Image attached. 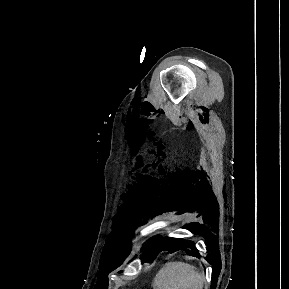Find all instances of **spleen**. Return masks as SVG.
<instances>
[{"label":"spleen","instance_id":"3e777b00","mask_svg":"<svg viewBox=\"0 0 289 289\" xmlns=\"http://www.w3.org/2000/svg\"><path fill=\"white\" fill-rule=\"evenodd\" d=\"M204 277L191 264L168 262L156 274L153 289H203Z\"/></svg>","mask_w":289,"mask_h":289}]
</instances>
